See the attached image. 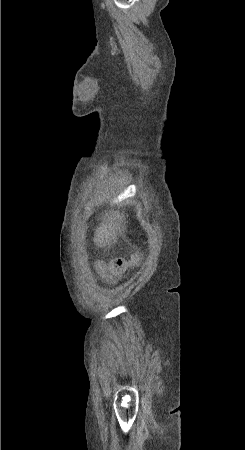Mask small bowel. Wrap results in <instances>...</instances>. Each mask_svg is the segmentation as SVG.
Masks as SVG:
<instances>
[{"mask_svg":"<svg viewBox=\"0 0 245 450\" xmlns=\"http://www.w3.org/2000/svg\"><path fill=\"white\" fill-rule=\"evenodd\" d=\"M110 265H111V263L108 265V272H110V273H116V272H114V271L111 269Z\"/></svg>","mask_w":245,"mask_h":450,"instance_id":"small-bowel-1","label":"small bowel"}]
</instances>
